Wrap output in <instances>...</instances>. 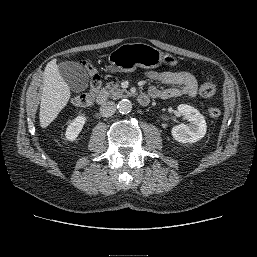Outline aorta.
Masks as SVG:
<instances>
[{
    "mask_svg": "<svg viewBox=\"0 0 257 257\" xmlns=\"http://www.w3.org/2000/svg\"><path fill=\"white\" fill-rule=\"evenodd\" d=\"M118 111L122 114H128L132 110V103L128 99H122L117 105Z\"/></svg>",
    "mask_w": 257,
    "mask_h": 257,
    "instance_id": "obj_1",
    "label": "aorta"
}]
</instances>
